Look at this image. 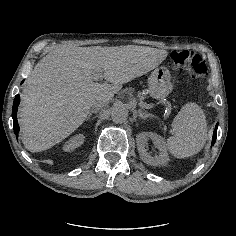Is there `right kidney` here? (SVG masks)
Returning a JSON list of instances; mask_svg holds the SVG:
<instances>
[{
	"mask_svg": "<svg viewBox=\"0 0 236 236\" xmlns=\"http://www.w3.org/2000/svg\"><path fill=\"white\" fill-rule=\"evenodd\" d=\"M84 141L83 135H78L75 138H73L70 142L65 144L64 149L67 151H71L75 149L76 147L80 146Z\"/></svg>",
	"mask_w": 236,
	"mask_h": 236,
	"instance_id": "ca27d5eb",
	"label": "right kidney"
}]
</instances>
